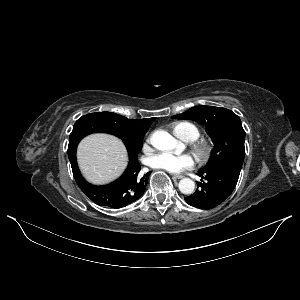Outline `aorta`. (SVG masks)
<instances>
[{
	"mask_svg": "<svg viewBox=\"0 0 300 300\" xmlns=\"http://www.w3.org/2000/svg\"><path fill=\"white\" fill-rule=\"evenodd\" d=\"M152 145L162 151H170L178 146V141L166 131H156L151 137ZM181 193L190 195L194 192L195 183L190 178H184L179 182Z\"/></svg>",
	"mask_w": 300,
	"mask_h": 300,
	"instance_id": "aorta-1",
	"label": "aorta"
}]
</instances>
